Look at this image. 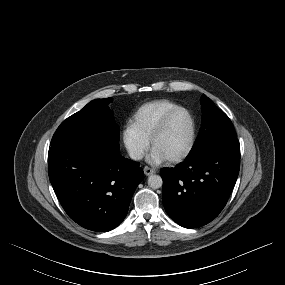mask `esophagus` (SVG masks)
I'll list each match as a JSON object with an SVG mask.
<instances>
[{"label": "esophagus", "instance_id": "esophagus-1", "mask_svg": "<svg viewBox=\"0 0 285 285\" xmlns=\"http://www.w3.org/2000/svg\"><path fill=\"white\" fill-rule=\"evenodd\" d=\"M143 170H144L145 175L147 176L152 175L156 172L153 168H150L148 166H145Z\"/></svg>", "mask_w": 285, "mask_h": 285}]
</instances>
